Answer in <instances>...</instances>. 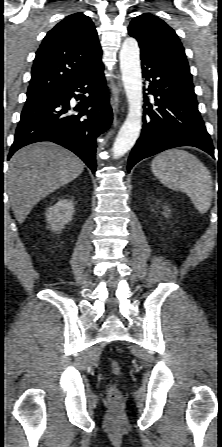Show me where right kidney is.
<instances>
[{"instance_id": "obj_1", "label": "right kidney", "mask_w": 222, "mask_h": 447, "mask_svg": "<svg viewBox=\"0 0 222 447\" xmlns=\"http://www.w3.org/2000/svg\"><path fill=\"white\" fill-rule=\"evenodd\" d=\"M74 204L71 200L60 199L46 211V221L52 231H59L72 220Z\"/></svg>"}]
</instances>
